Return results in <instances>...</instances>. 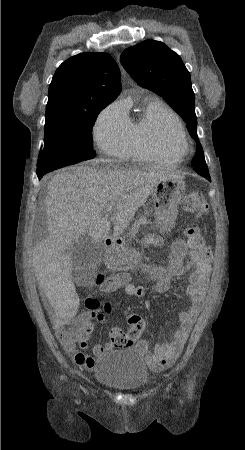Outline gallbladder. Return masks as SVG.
<instances>
[{
	"instance_id": "bac80fb5",
	"label": "gallbladder",
	"mask_w": 245,
	"mask_h": 450,
	"mask_svg": "<svg viewBox=\"0 0 245 450\" xmlns=\"http://www.w3.org/2000/svg\"><path fill=\"white\" fill-rule=\"evenodd\" d=\"M72 259L73 280L78 282L79 277L85 276L97 269L103 259V248L87 235L74 240L67 249Z\"/></svg>"
}]
</instances>
